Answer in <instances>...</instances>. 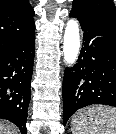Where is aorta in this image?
I'll return each mask as SVG.
<instances>
[{
	"label": "aorta",
	"instance_id": "aorta-1",
	"mask_svg": "<svg viewBox=\"0 0 116 134\" xmlns=\"http://www.w3.org/2000/svg\"><path fill=\"white\" fill-rule=\"evenodd\" d=\"M80 51V35L79 25L75 19H70L67 22L64 42H63V54L64 60L68 66H72L78 57Z\"/></svg>",
	"mask_w": 116,
	"mask_h": 134
}]
</instances>
